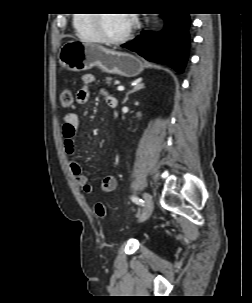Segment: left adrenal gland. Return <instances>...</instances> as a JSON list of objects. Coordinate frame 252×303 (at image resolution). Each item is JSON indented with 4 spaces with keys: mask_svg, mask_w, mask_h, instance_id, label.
<instances>
[{
    "mask_svg": "<svg viewBox=\"0 0 252 303\" xmlns=\"http://www.w3.org/2000/svg\"><path fill=\"white\" fill-rule=\"evenodd\" d=\"M143 88H144V84H143V83L139 82V83L135 84V86L133 87V89H132L131 91H129V92L126 94L123 103H126V101L128 100V96H129L131 93H134V92H136V91H139V90H141V89H143Z\"/></svg>",
    "mask_w": 252,
    "mask_h": 303,
    "instance_id": "a2214340",
    "label": "left adrenal gland"
}]
</instances>
